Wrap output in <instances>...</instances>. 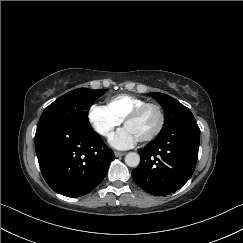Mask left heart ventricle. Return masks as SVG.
<instances>
[{"mask_svg": "<svg viewBox=\"0 0 243 243\" xmlns=\"http://www.w3.org/2000/svg\"><path fill=\"white\" fill-rule=\"evenodd\" d=\"M159 114L155 108L146 109L137 119L126 124L139 141L150 135L158 126Z\"/></svg>", "mask_w": 243, "mask_h": 243, "instance_id": "1", "label": "left heart ventricle"}]
</instances>
